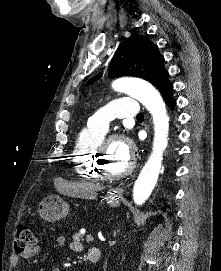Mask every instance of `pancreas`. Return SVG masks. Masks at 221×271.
Masks as SVG:
<instances>
[{"instance_id":"cf45deb5","label":"pancreas","mask_w":221,"mask_h":271,"mask_svg":"<svg viewBox=\"0 0 221 271\" xmlns=\"http://www.w3.org/2000/svg\"><path fill=\"white\" fill-rule=\"evenodd\" d=\"M72 241H73V242H82V241H83V238H82V237H73V238H72Z\"/></svg>"}]
</instances>
